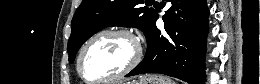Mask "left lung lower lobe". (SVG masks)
Listing matches in <instances>:
<instances>
[{
	"label": "left lung lower lobe",
	"mask_w": 260,
	"mask_h": 84,
	"mask_svg": "<svg viewBox=\"0 0 260 84\" xmlns=\"http://www.w3.org/2000/svg\"><path fill=\"white\" fill-rule=\"evenodd\" d=\"M165 31L156 27V13L147 35L144 59L126 76L161 73L190 84H203L209 10L206 0H167ZM165 4V3H164Z\"/></svg>",
	"instance_id": "left-lung-lower-lobe-1"
}]
</instances>
